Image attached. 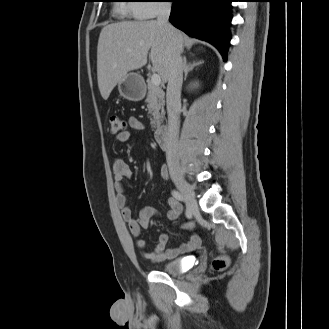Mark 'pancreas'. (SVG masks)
I'll return each instance as SVG.
<instances>
[{"label": "pancreas", "instance_id": "obj_1", "mask_svg": "<svg viewBox=\"0 0 329 329\" xmlns=\"http://www.w3.org/2000/svg\"><path fill=\"white\" fill-rule=\"evenodd\" d=\"M164 91L159 86H154L150 81L148 82V94L146 98L149 114H151V125L159 128L162 118L164 116Z\"/></svg>", "mask_w": 329, "mask_h": 329}]
</instances>
